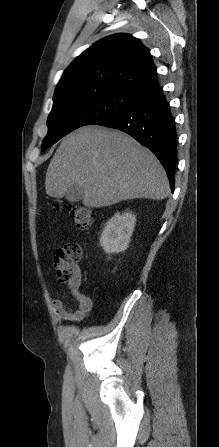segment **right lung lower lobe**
<instances>
[{"instance_id":"98d812e1","label":"right lung lower lobe","mask_w":219,"mask_h":447,"mask_svg":"<svg viewBox=\"0 0 219 447\" xmlns=\"http://www.w3.org/2000/svg\"><path fill=\"white\" fill-rule=\"evenodd\" d=\"M96 125L121 130L149 148L163 165L173 192L177 133L169 103L161 91Z\"/></svg>"}]
</instances>
